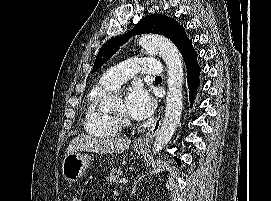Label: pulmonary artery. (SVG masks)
Returning a JSON list of instances; mask_svg holds the SVG:
<instances>
[{"instance_id":"e3ab8cb5","label":"pulmonary artery","mask_w":271,"mask_h":201,"mask_svg":"<svg viewBox=\"0 0 271 201\" xmlns=\"http://www.w3.org/2000/svg\"><path fill=\"white\" fill-rule=\"evenodd\" d=\"M138 73L157 76L162 73V67L156 58H131L108 70L102 76L100 84L106 88H116Z\"/></svg>"}]
</instances>
